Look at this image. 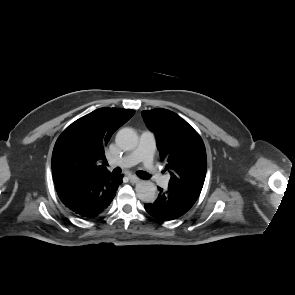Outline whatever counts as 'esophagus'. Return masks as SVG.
Segmentation results:
<instances>
[{"label": "esophagus", "mask_w": 295, "mask_h": 295, "mask_svg": "<svg viewBox=\"0 0 295 295\" xmlns=\"http://www.w3.org/2000/svg\"><path fill=\"white\" fill-rule=\"evenodd\" d=\"M128 177H129V180L131 183H139L140 182V179L137 176L129 175Z\"/></svg>", "instance_id": "1"}]
</instances>
